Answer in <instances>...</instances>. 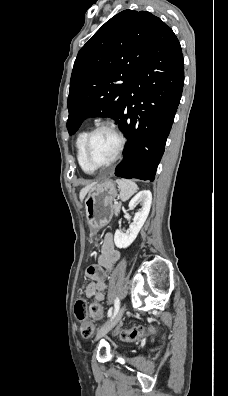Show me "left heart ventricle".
<instances>
[{
  "label": "left heart ventricle",
  "instance_id": "left-heart-ventricle-1",
  "mask_svg": "<svg viewBox=\"0 0 228 396\" xmlns=\"http://www.w3.org/2000/svg\"><path fill=\"white\" fill-rule=\"evenodd\" d=\"M118 146L117 137L108 129L98 131L90 144L89 156L94 165H104L114 156Z\"/></svg>",
  "mask_w": 228,
  "mask_h": 396
}]
</instances>
